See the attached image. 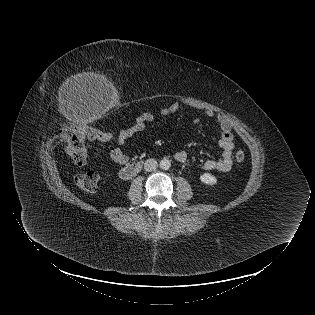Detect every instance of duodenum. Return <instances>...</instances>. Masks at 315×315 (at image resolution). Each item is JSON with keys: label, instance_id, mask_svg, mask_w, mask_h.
Returning <instances> with one entry per match:
<instances>
[{"label": "duodenum", "instance_id": "duodenum-1", "mask_svg": "<svg viewBox=\"0 0 315 315\" xmlns=\"http://www.w3.org/2000/svg\"><path fill=\"white\" fill-rule=\"evenodd\" d=\"M142 168V162L137 161L123 167L120 171L121 178L128 180L135 176Z\"/></svg>", "mask_w": 315, "mask_h": 315}]
</instances>
